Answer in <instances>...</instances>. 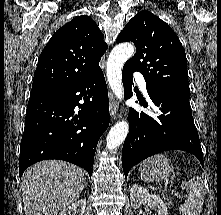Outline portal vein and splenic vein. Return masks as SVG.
<instances>
[{
	"label": "portal vein and splenic vein",
	"mask_w": 221,
	"mask_h": 215,
	"mask_svg": "<svg viewBox=\"0 0 221 215\" xmlns=\"http://www.w3.org/2000/svg\"><path fill=\"white\" fill-rule=\"evenodd\" d=\"M172 193H174L175 195H178V193H177V192H175L174 190H172Z\"/></svg>",
	"instance_id": "18ae733b"
}]
</instances>
